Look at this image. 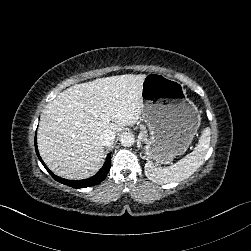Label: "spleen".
<instances>
[{
  "instance_id": "spleen-1",
  "label": "spleen",
  "mask_w": 251,
  "mask_h": 251,
  "mask_svg": "<svg viewBox=\"0 0 251 251\" xmlns=\"http://www.w3.org/2000/svg\"><path fill=\"white\" fill-rule=\"evenodd\" d=\"M211 129L206 127L194 151L179 160L172 168H156L152 161L145 164L146 176L158 183L179 182L190 177L202 164L210 146Z\"/></svg>"
}]
</instances>
